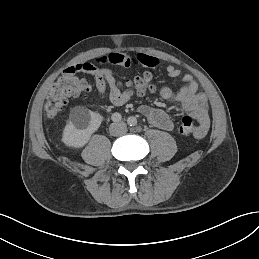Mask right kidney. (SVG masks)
I'll list each match as a JSON object with an SVG mask.
<instances>
[{
    "label": "right kidney",
    "mask_w": 259,
    "mask_h": 259,
    "mask_svg": "<svg viewBox=\"0 0 259 259\" xmlns=\"http://www.w3.org/2000/svg\"><path fill=\"white\" fill-rule=\"evenodd\" d=\"M103 120L96 112L84 107H75L71 110L69 123L63 131L62 141L67 146L83 147L90 139Z\"/></svg>",
    "instance_id": "right-kidney-1"
}]
</instances>
